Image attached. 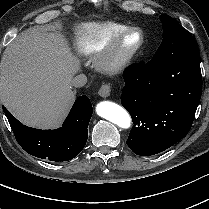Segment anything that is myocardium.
<instances>
[{
  "label": "myocardium",
  "mask_w": 209,
  "mask_h": 209,
  "mask_svg": "<svg viewBox=\"0 0 209 209\" xmlns=\"http://www.w3.org/2000/svg\"><path fill=\"white\" fill-rule=\"evenodd\" d=\"M139 34L140 40L128 51L121 50L123 40L131 34ZM145 43L143 31L138 27H128L114 33L101 49L97 66L100 71L115 74L125 69L142 49Z\"/></svg>",
  "instance_id": "obj_1"
}]
</instances>
